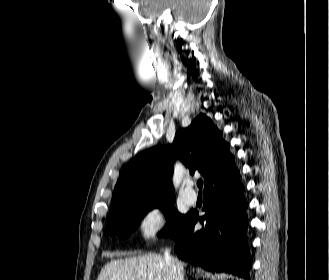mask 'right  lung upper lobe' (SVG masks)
I'll return each instance as SVG.
<instances>
[{"mask_svg":"<svg viewBox=\"0 0 329 280\" xmlns=\"http://www.w3.org/2000/svg\"><path fill=\"white\" fill-rule=\"evenodd\" d=\"M179 158L191 173L199 171L206 186L234 166V156L221 132L205 114L179 129L172 145H157L141 152L124 168L114 188L111 212L144 197H174V159Z\"/></svg>","mask_w":329,"mask_h":280,"instance_id":"right-lung-upper-lobe-1","label":"right lung upper lobe"}]
</instances>
